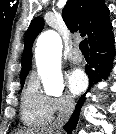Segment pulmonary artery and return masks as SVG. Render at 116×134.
I'll return each instance as SVG.
<instances>
[{
	"label": "pulmonary artery",
	"mask_w": 116,
	"mask_h": 134,
	"mask_svg": "<svg viewBox=\"0 0 116 134\" xmlns=\"http://www.w3.org/2000/svg\"><path fill=\"white\" fill-rule=\"evenodd\" d=\"M67 58L72 63H80L82 61V55L77 50H73L67 55Z\"/></svg>",
	"instance_id": "obj_1"
}]
</instances>
